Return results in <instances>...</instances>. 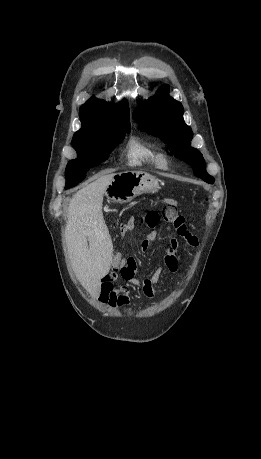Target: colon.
<instances>
[{"mask_svg": "<svg viewBox=\"0 0 261 459\" xmlns=\"http://www.w3.org/2000/svg\"><path fill=\"white\" fill-rule=\"evenodd\" d=\"M178 202L173 198L165 199V208L163 212L164 219L171 223L176 229H181L185 222L184 218L178 214ZM160 222V216L156 211H149L140 218V223L145 225L148 229H155ZM126 258V255L122 252L115 254L114 268L115 270L120 269V261Z\"/></svg>", "mask_w": 261, "mask_h": 459, "instance_id": "5ec220e1", "label": "colon"}]
</instances>
